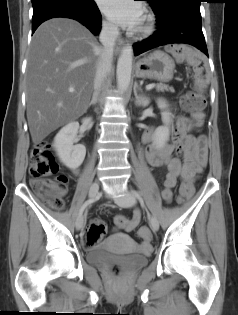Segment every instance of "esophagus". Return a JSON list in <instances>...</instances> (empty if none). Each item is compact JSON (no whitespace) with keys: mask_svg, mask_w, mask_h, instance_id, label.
Segmentation results:
<instances>
[{"mask_svg":"<svg viewBox=\"0 0 238 315\" xmlns=\"http://www.w3.org/2000/svg\"><path fill=\"white\" fill-rule=\"evenodd\" d=\"M124 45V41L122 39H118L115 43V51L119 53Z\"/></svg>","mask_w":238,"mask_h":315,"instance_id":"1","label":"esophagus"}]
</instances>
